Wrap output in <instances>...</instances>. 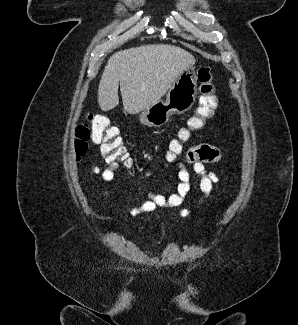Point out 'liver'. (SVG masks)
Returning <instances> with one entry per match:
<instances>
[{"instance_id": "obj_1", "label": "liver", "mask_w": 298, "mask_h": 325, "mask_svg": "<svg viewBox=\"0 0 298 325\" xmlns=\"http://www.w3.org/2000/svg\"><path fill=\"white\" fill-rule=\"evenodd\" d=\"M195 62L191 52L176 44H142L119 50L102 72L99 106L101 110L115 108L120 88L124 110L137 114L159 102L179 74Z\"/></svg>"}]
</instances>
